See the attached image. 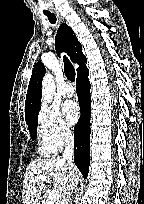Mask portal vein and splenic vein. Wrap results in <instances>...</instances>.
<instances>
[{
  "label": "portal vein and splenic vein",
  "instance_id": "1",
  "mask_svg": "<svg viewBox=\"0 0 144 204\" xmlns=\"http://www.w3.org/2000/svg\"><path fill=\"white\" fill-rule=\"evenodd\" d=\"M35 180L36 181H43V182H46L47 184H50L51 181L49 178H47L46 176H36L35 177ZM60 198V195L57 191H49L48 192V195H47V201H46V204H55V202Z\"/></svg>",
  "mask_w": 144,
  "mask_h": 204
}]
</instances>
